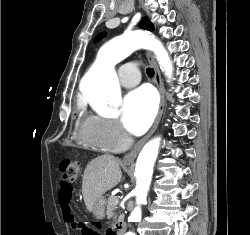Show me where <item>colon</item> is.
<instances>
[{"instance_id": "colon-1", "label": "colon", "mask_w": 250, "mask_h": 235, "mask_svg": "<svg viewBox=\"0 0 250 235\" xmlns=\"http://www.w3.org/2000/svg\"><path fill=\"white\" fill-rule=\"evenodd\" d=\"M59 189L60 191H71L72 183L79 177L81 173V165L78 161L71 159H64L59 165ZM65 221L69 222L75 229L79 230L82 234L92 235L90 229L82 227L77 223L72 214L65 215Z\"/></svg>"}]
</instances>
